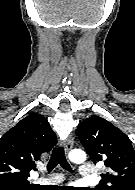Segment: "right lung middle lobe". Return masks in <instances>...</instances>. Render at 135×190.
<instances>
[{"mask_svg": "<svg viewBox=\"0 0 135 190\" xmlns=\"http://www.w3.org/2000/svg\"><path fill=\"white\" fill-rule=\"evenodd\" d=\"M0 190H35V186L27 184L1 183Z\"/></svg>", "mask_w": 135, "mask_h": 190, "instance_id": "obj_1", "label": "right lung middle lobe"}]
</instances>
